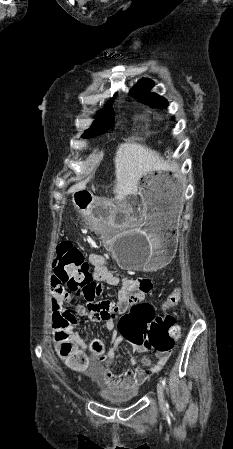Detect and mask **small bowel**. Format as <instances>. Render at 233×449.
<instances>
[{"mask_svg": "<svg viewBox=\"0 0 233 449\" xmlns=\"http://www.w3.org/2000/svg\"><path fill=\"white\" fill-rule=\"evenodd\" d=\"M89 261L92 264L91 279L100 284L94 287L92 297L97 299L95 302L87 303L86 307L71 304V294L66 291L64 277L56 269L50 277V286L52 290V304L55 310L60 312L66 311L67 307H72L75 316H82L92 322H104L106 328L112 333L111 348L106 355L88 350V344L73 331L74 323L69 326V341L74 347V351L83 357L84 366H87L95 373H102L106 383L114 389H130L142 385L152 374L159 372L166 364L169 353L157 354L156 363L143 357L142 366L132 368L135 360L131 358L128 368L124 372L117 374L111 369L105 370L103 363L111 359L118 349L119 344L126 338H120L114 329V322L118 320L120 314H127L129 310H133L132 303L135 301H144L147 296L154 291L155 285L152 278H148L147 274H116L107 267L108 259L99 253H90ZM70 273V271H69ZM111 286H120L117 299H100L107 294L103 287L104 284ZM93 311V312H92ZM115 315L111 316L112 314ZM109 317H106V315ZM134 350L138 354H144L146 349H136L135 343H131ZM59 348V343H58ZM88 351L87 355L84 353Z\"/></svg>", "mask_w": 233, "mask_h": 449, "instance_id": "obj_1", "label": "small bowel"}]
</instances>
